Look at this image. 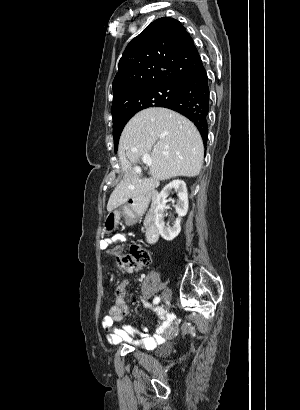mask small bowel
Masks as SVG:
<instances>
[{
    "label": "small bowel",
    "instance_id": "c3829d8e",
    "mask_svg": "<svg viewBox=\"0 0 300 410\" xmlns=\"http://www.w3.org/2000/svg\"><path fill=\"white\" fill-rule=\"evenodd\" d=\"M113 275L106 277V282H111ZM128 280H124L120 283L115 291L114 304L109 308L108 313L101 320V327L107 332V340L112 345H117L122 342H128L138 344L144 348H154L157 343H160L166 339L173 337L178 327L174 323V316L162 307H156L153 310L159 317V323L156 328V332L151 335L147 328H143L140 339H134L132 337V328L128 325H124L120 328H113L115 322H119L129 311L128 304L126 302V288ZM145 306H149L145 303Z\"/></svg>",
    "mask_w": 300,
    "mask_h": 410
}]
</instances>
